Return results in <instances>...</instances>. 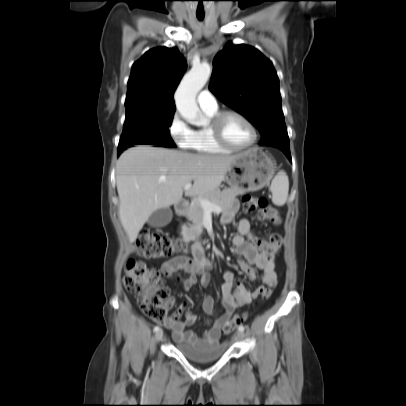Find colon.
Wrapping results in <instances>:
<instances>
[{
  "mask_svg": "<svg viewBox=\"0 0 406 406\" xmlns=\"http://www.w3.org/2000/svg\"><path fill=\"white\" fill-rule=\"evenodd\" d=\"M247 212H257L258 219L269 221L273 224L281 222L276 208L269 206L266 198L262 196H245L242 199ZM281 245V238L273 235L264 242L262 252L265 256H273ZM135 246L139 256L147 259L164 258L174 254L179 243L151 229H143L136 238ZM124 287L140 301L144 314L153 321L164 324L167 319L164 301L169 295V290L163 285L160 271L148 266L142 261L130 259L125 265L123 278ZM272 294L270 287L262 293V299L268 300ZM246 320V315L235 314L222 326L224 333H229Z\"/></svg>",
  "mask_w": 406,
  "mask_h": 406,
  "instance_id": "obj_1",
  "label": "colon"
}]
</instances>
